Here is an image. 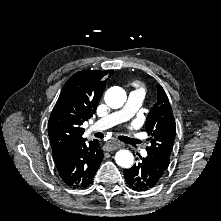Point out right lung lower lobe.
<instances>
[{
  "instance_id": "1",
  "label": "right lung lower lobe",
  "mask_w": 221,
  "mask_h": 221,
  "mask_svg": "<svg viewBox=\"0 0 221 221\" xmlns=\"http://www.w3.org/2000/svg\"><path fill=\"white\" fill-rule=\"evenodd\" d=\"M104 154L97 139L79 142L54 159L62 181L72 188H87L93 181Z\"/></svg>"
}]
</instances>
